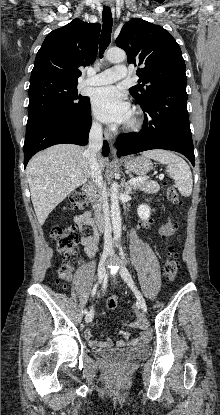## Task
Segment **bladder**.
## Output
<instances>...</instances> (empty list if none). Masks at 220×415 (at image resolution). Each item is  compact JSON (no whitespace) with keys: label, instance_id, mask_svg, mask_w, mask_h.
Listing matches in <instances>:
<instances>
[{"label":"bladder","instance_id":"31cf9c89","mask_svg":"<svg viewBox=\"0 0 220 415\" xmlns=\"http://www.w3.org/2000/svg\"><path fill=\"white\" fill-rule=\"evenodd\" d=\"M150 353L149 346H137L127 349L98 350V355L115 363H127L130 361L145 358Z\"/></svg>","mask_w":220,"mask_h":415}]
</instances>
